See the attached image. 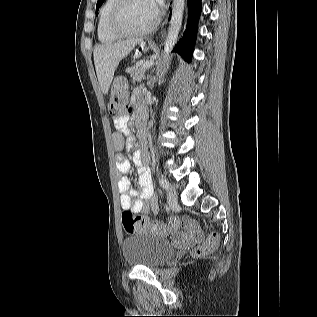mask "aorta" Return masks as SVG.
I'll return each mask as SVG.
<instances>
[{
  "instance_id": "762f6f07",
  "label": "aorta",
  "mask_w": 317,
  "mask_h": 317,
  "mask_svg": "<svg viewBox=\"0 0 317 317\" xmlns=\"http://www.w3.org/2000/svg\"><path fill=\"white\" fill-rule=\"evenodd\" d=\"M185 0H173L172 15L168 27L167 37L164 43L163 61L168 60L181 29Z\"/></svg>"
}]
</instances>
